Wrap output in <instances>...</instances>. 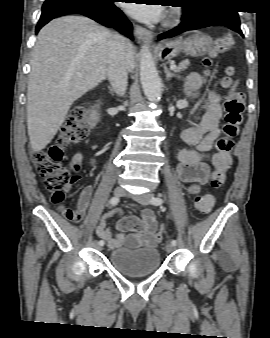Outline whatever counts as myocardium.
<instances>
[{
    "instance_id": "myocardium-1",
    "label": "myocardium",
    "mask_w": 270,
    "mask_h": 338,
    "mask_svg": "<svg viewBox=\"0 0 270 338\" xmlns=\"http://www.w3.org/2000/svg\"><path fill=\"white\" fill-rule=\"evenodd\" d=\"M181 15V11L176 8V7H172L167 14V17L163 23L164 26L169 27L171 25H173L176 20L180 17Z\"/></svg>"
}]
</instances>
